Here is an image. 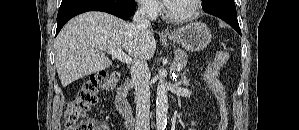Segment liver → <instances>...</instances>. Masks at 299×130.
<instances>
[{"mask_svg": "<svg viewBox=\"0 0 299 130\" xmlns=\"http://www.w3.org/2000/svg\"><path fill=\"white\" fill-rule=\"evenodd\" d=\"M110 49H124L134 59L149 60L156 51L154 32L105 12H86L71 19L55 41L62 86L111 66L102 54Z\"/></svg>", "mask_w": 299, "mask_h": 130, "instance_id": "obj_1", "label": "liver"}]
</instances>
